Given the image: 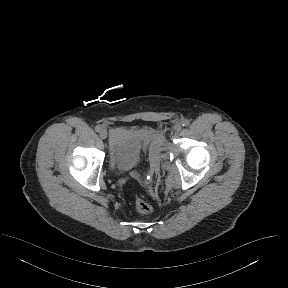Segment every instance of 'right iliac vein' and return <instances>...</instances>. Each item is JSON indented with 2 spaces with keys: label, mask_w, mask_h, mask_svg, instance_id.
<instances>
[{
  "label": "right iliac vein",
  "mask_w": 288,
  "mask_h": 288,
  "mask_svg": "<svg viewBox=\"0 0 288 288\" xmlns=\"http://www.w3.org/2000/svg\"><path fill=\"white\" fill-rule=\"evenodd\" d=\"M101 139H106L107 138V131L105 129H102L99 133Z\"/></svg>",
  "instance_id": "1"
}]
</instances>
